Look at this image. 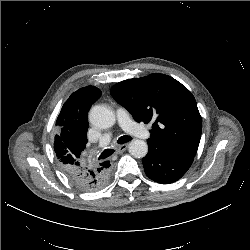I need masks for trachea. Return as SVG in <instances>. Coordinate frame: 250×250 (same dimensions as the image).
Here are the masks:
<instances>
[{"mask_svg":"<svg viewBox=\"0 0 250 250\" xmlns=\"http://www.w3.org/2000/svg\"><path fill=\"white\" fill-rule=\"evenodd\" d=\"M132 138L130 136H127V135H124V136H121L117 142L118 144H124L126 142H129ZM114 153V149H105L101 155L99 156V159H105L109 156H111L112 154Z\"/></svg>","mask_w":250,"mask_h":250,"instance_id":"obj_1","label":"trachea"}]
</instances>
